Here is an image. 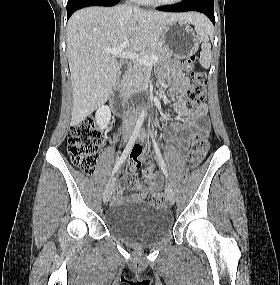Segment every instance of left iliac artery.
Returning a JSON list of instances; mask_svg holds the SVG:
<instances>
[{"label": "left iliac artery", "mask_w": 280, "mask_h": 285, "mask_svg": "<svg viewBox=\"0 0 280 285\" xmlns=\"http://www.w3.org/2000/svg\"><path fill=\"white\" fill-rule=\"evenodd\" d=\"M150 136H151V139L153 141V145H154V148H155V151H156V155H157V159H158V162H159V165L164 173V175L166 176V178H168V170H167V167H166V164L162 158V154L160 152V149H159V146L156 142V139H155V136L154 134L152 133V131L150 130Z\"/></svg>", "instance_id": "obj_1"}]
</instances>
